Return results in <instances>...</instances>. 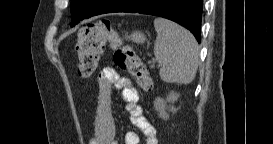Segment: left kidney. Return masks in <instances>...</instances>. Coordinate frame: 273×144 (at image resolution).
Instances as JSON below:
<instances>
[{
  "label": "left kidney",
  "mask_w": 273,
  "mask_h": 144,
  "mask_svg": "<svg viewBox=\"0 0 273 144\" xmlns=\"http://www.w3.org/2000/svg\"><path fill=\"white\" fill-rule=\"evenodd\" d=\"M179 98V94L172 91L168 94L167 98L164 100L160 97L155 99L154 107L155 110L159 112V117L166 120L168 119L169 115L166 110L173 111L174 106L169 105L167 106V103L173 104L177 99Z\"/></svg>",
  "instance_id": "1"
}]
</instances>
